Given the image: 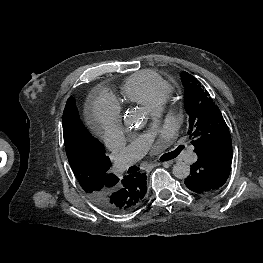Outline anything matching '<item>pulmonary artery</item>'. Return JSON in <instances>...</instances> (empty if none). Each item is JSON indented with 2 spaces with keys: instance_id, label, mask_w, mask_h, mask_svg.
<instances>
[{
  "instance_id": "obj_1",
  "label": "pulmonary artery",
  "mask_w": 263,
  "mask_h": 263,
  "mask_svg": "<svg viewBox=\"0 0 263 263\" xmlns=\"http://www.w3.org/2000/svg\"><path fill=\"white\" fill-rule=\"evenodd\" d=\"M162 109V104H158L152 109L151 113L157 117ZM152 135L151 133L141 136L136 139L130 145H128L117 157L114 169L120 173L126 170L130 165L140 159L148 150ZM184 159L193 163L197 160V154L194 151V147L191 146L184 155Z\"/></svg>"
}]
</instances>
